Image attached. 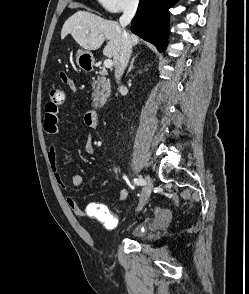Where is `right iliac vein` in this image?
<instances>
[{
	"label": "right iliac vein",
	"mask_w": 249,
	"mask_h": 294,
	"mask_svg": "<svg viewBox=\"0 0 249 294\" xmlns=\"http://www.w3.org/2000/svg\"><path fill=\"white\" fill-rule=\"evenodd\" d=\"M145 179H146V184H145L143 191H142V195H141L140 202L138 205V211H141L143 209V207L145 206V204L147 203V201L151 195V189H152L151 178L149 176H146Z\"/></svg>",
	"instance_id": "63e3f726"
}]
</instances>
